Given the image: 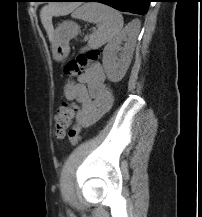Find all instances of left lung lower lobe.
<instances>
[{
  "label": "left lung lower lobe",
  "mask_w": 202,
  "mask_h": 217,
  "mask_svg": "<svg viewBox=\"0 0 202 217\" xmlns=\"http://www.w3.org/2000/svg\"><path fill=\"white\" fill-rule=\"evenodd\" d=\"M57 2H100L117 10L144 15L151 0H52Z\"/></svg>",
  "instance_id": "1"
}]
</instances>
